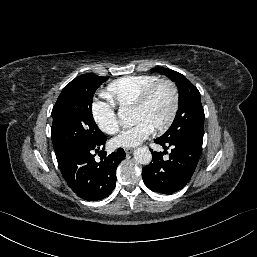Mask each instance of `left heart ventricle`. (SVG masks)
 <instances>
[{
    "label": "left heart ventricle",
    "instance_id": "left-heart-ventricle-1",
    "mask_svg": "<svg viewBox=\"0 0 257 257\" xmlns=\"http://www.w3.org/2000/svg\"><path fill=\"white\" fill-rule=\"evenodd\" d=\"M171 107V90L167 86H161L144 108L132 110L133 122L144 121L150 125L152 129H156L166 122Z\"/></svg>",
    "mask_w": 257,
    "mask_h": 257
}]
</instances>
